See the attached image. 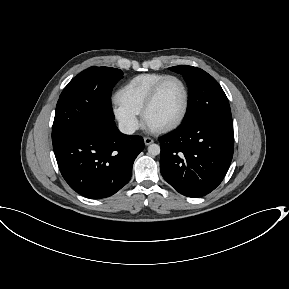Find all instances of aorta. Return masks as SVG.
<instances>
[{
  "label": "aorta",
  "instance_id": "aorta-1",
  "mask_svg": "<svg viewBox=\"0 0 289 289\" xmlns=\"http://www.w3.org/2000/svg\"><path fill=\"white\" fill-rule=\"evenodd\" d=\"M148 153L152 156H157L160 154V146L158 144H150L148 146Z\"/></svg>",
  "mask_w": 289,
  "mask_h": 289
}]
</instances>
